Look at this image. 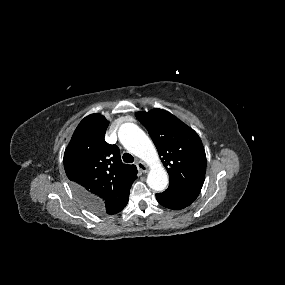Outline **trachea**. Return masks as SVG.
Instances as JSON below:
<instances>
[{
	"label": "trachea",
	"mask_w": 285,
	"mask_h": 285,
	"mask_svg": "<svg viewBox=\"0 0 285 285\" xmlns=\"http://www.w3.org/2000/svg\"><path fill=\"white\" fill-rule=\"evenodd\" d=\"M122 158H123V161L126 163H132L134 161V157L129 153H124Z\"/></svg>",
	"instance_id": "3493384b"
}]
</instances>
